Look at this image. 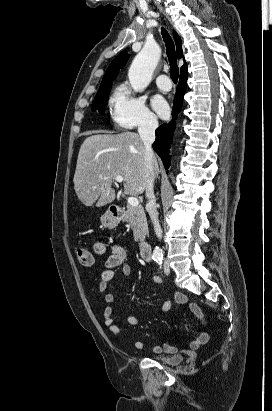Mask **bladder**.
<instances>
[{
  "label": "bladder",
  "instance_id": "bladder-1",
  "mask_svg": "<svg viewBox=\"0 0 272 411\" xmlns=\"http://www.w3.org/2000/svg\"><path fill=\"white\" fill-rule=\"evenodd\" d=\"M153 359L170 366L179 365L183 361V357L181 355H155Z\"/></svg>",
  "mask_w": 272,
  "mask_h": 411
}]
</instances>
